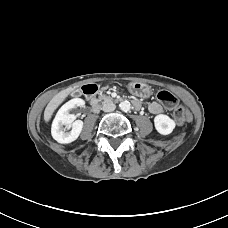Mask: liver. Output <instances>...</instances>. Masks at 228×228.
Listing matches in <instances>:
<instances>
[{"label":"liver","mask_w":228,"mask_h":228,"mask_svg":"<svg viewBox=\"0 0 228 228\" xmlns=\"http://www.w3.org/2000/svg\"><path fill=\"white\" fill-rule=\"evenodd\" d=\"M73 89H68L65 91H61L57 95H55L50 102L48 103L45 111H44V120L45 122H49L52 117L54 110L62 103V101L68 96Z\"/></svg>","instance_id":"6515ba94"}]
</instances>
